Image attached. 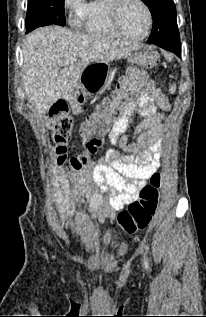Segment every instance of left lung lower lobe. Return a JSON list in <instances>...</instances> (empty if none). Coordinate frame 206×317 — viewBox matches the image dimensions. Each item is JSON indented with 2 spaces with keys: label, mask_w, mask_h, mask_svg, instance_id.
Masks as SVG:
<instances>
[{
  "label": "left lung lower lobe",
  "mask_w": 206,
  "mask_h": 317,
  "mask_svg": "<svg viewBox=\"0 0 206 317\" xmlns=\"http://www.w3.org/2000/svg\"><path fill=\"white\" fill-rule=\"evenodd\" d=\"M158 46L161 48H164L166 50H169L171 52H174L177 56L180 57V54H181V45L180 44L170 43V44H159Z\"/></svg>",
  "instance_id": "obj_1"
}]
</instances>
